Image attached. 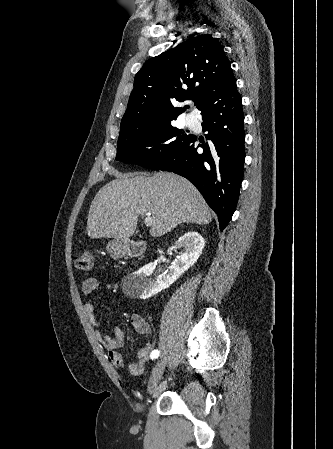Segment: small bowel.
<instances>
[{
  "label": "small bowel",
  "mask_w": 333,
  "mask_h": 449,
  "mask_svg": "<svg viewBox=\"0 0 333 449\" xmlns=\"http://www.w3.org/2000/svg\"><path fill=\"white\" fill-rule=\"evenodd\" d=\"M99 288V282L95 278H88L82 283V292L85 296L92 297ZM84 311L89 322L98 327L99 321L95 315L94 304L89 299L84 305ZM131 324L135 331L142 335L150 334L151 328L146 319L140 314L131 315ZM96 337L101 345L107 350L108 358L111 364L117 368H123L125 365L121 350L125 346V333L119 327L113 329L112 336H107L99 330H96ZM154 351V345L148 343L137 351L135 360L129 365V372L134 375H140L143 371L144 364L150 359L151 353Z\"/></svg>",
  "instance_id": "obj_1"
}]
</instances>
